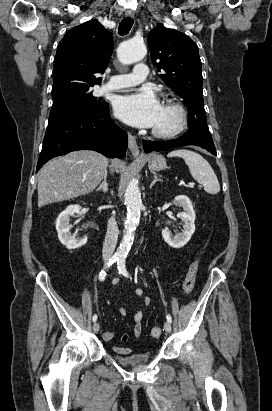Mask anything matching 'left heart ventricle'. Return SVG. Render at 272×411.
Listing matches in <instances>:
<instances>
[{
	"label": "left heart ventricle",
	"instance_id": "obj_1",
	"mask_svg": "<svg viewBox=\"0 0 272 411\" xmlns=\"http://www.w3.org/2000/svg\"><path fill=\"white\" fill-rule=\"evenodd\" d=\"M175 121V114L169 109L162 108L160 118L155 127L159 129H169L173 127Z\"/></svg>",
	"mask_w": 272,
	"mask_h": 411
}]
</instances>
